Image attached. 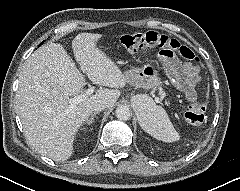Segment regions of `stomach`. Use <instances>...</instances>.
Wrapping results in <instances>:
<instances>
[{"label": "stomach", "mask_w": 240, "mask_h": 191, "mask_svg": "<svg viewBox=\"0 0 240 191\" xmlns=\"http://www.w3.org/2000/svg\"><path fill=\"white\" fill-rule=\"evenodd\" d=\"M126 83L145 89L155 88L162 84L159 73L154 64L148 63L142 68L127 70L123 73ZM145 107L136 106V113L141 125Z\"/></svg>", "instance_id": "1"}]
</instances>
